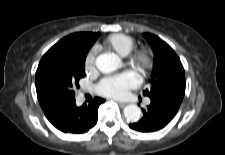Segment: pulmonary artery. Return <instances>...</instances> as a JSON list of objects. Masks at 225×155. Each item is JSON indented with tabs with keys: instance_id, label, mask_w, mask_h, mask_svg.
Returning <instances> with one entry per match:
<instances>
[{
	"instance_id": "e3ab8cb5",
	"label": "pulmonary artery",
	"mask_w": 225,
	"mask_h": 155,
	"mask_svg": "<svg viewBox=\"0 0 225 155\" xmlns=\"http://www.w3.org/2000/svg\"><path fill=\"white\" fill-rule=\"evenodd\" d=\"M145 103H146V104H149V103H150V100H149V99H147V100L145 101Z\"/></svg>"
}]
</instances>
